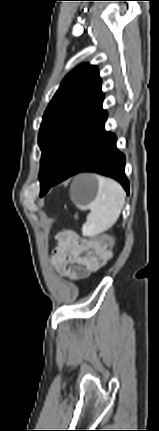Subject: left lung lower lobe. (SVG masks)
Listing matches in <instances>:
<instances>
[{"label":"left lung lower lobe","mask_w":159,"mask_h":431,"mask_svg":"<svg viewBox=\"0 0 159 431\" xmlns=\"http://www.w3.org/2000/svg\"><path fill=\"white\" fill-rule=\"evenodd\" d=\"M107 112L84 128L68 149L57 175L41 192L43 196L51 186L80 172H95L116 179L129 193L125 176V156L116 147V136L105 131Z\"/></svg>","instance_id":"obj_1"}]
</instances>
